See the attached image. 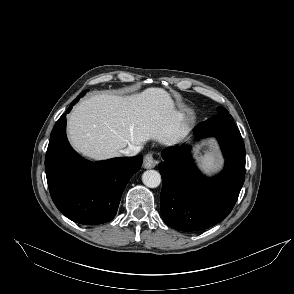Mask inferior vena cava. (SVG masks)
Segmentation results:
<instances>
[{"label":"inferior vena cava","mask_w":294,"mask_h":294,"mask_svg":"<svg viewBox=\"0 0 294 294\" xmlns=\"http://www.w3.org/2000/svg\"><path fill=\"white\" fill-rule=\"evenodd\" d=\"M140 147L129 145L127 148L121 150L120 152L125 156L132 157L138 154Z\"/></svg>","instance_id":"1"}]
</instances>
